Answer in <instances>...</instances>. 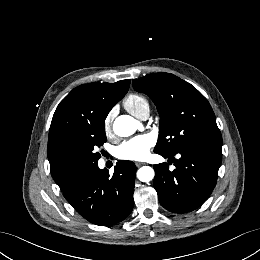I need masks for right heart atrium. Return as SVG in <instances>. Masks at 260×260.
<instances>
[{
  "mask_svg": "<svg viewBox=\"0 0 260 260\" xmlns=\"http://www.w3.org/2000/svg\"><path fill=\"white\" fill-rule=\"evenodd\" d=\"M114 112H115V109H112L111 111H109V113L105 117L104 127H105L106 133L111 132L112 122H113V118H114Z\"/></svg>",
  "mask_w": 260,
  "mask_h": 260,
  "instance_id": "right-heart-atrium-1",
  "label": "right heart atrium"
}]
</instances>
